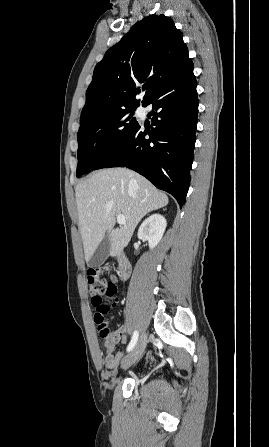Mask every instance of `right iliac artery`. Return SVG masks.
Listing matches in <instances>:
<instances>
[{
  "label": "right iliac artery",
  "instance_id": "obj_1",
  "mask_svg": "<svg viewBox=\"0 0 269 447\" xmlns=\"http://www.w3.org/2000/svg\"><path fill=\"white\" fill-rule=\"evenodd\" d=\"M138 340V331H134L131 342L129 343L128 347H127V351H131L134 346L136 345Z\"/></svg>",
  "mask_w": 269,
  "mask_h": 447
}]
</instances>
